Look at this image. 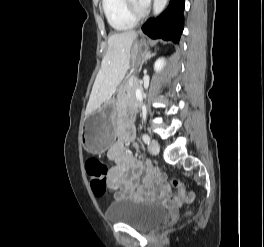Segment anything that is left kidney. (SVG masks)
<instances>
[{"instance_id":"left-kidney-1","label":"left kidney","mask_w":264,"mask_h":247,"mask_svg":"<svg viewBox=\"0 0 264 247\" xmlns=\"http://www.w3.org/2000/svg\"><path fill=\"white\" fill-rule=\"evenodd\" d=\"M164 65H165L164 59L163 58H159V59L156 60V62L154 64V70L156 72H160L163 69Z\"/></svg>"}]
</instances>
